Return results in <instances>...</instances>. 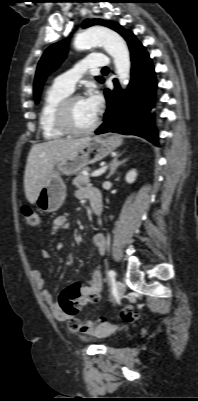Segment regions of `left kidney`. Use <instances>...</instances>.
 Instances as JSON below:
<instances>
[{
	"label": "left kidney",
	"mask_w": 198,
	"mask_h": 401,
	"mask_svg": "<svg viewBox=\"0 0 198 401\" xmlns=\"http://www.w3.org/2000/svg\"><path fill=\"white\" fill-rule=\"evenodd\" d=\"M137 172L135 169L129 171L125 177L127 183H133L136 180Z\"/></svg>",
	"instance_id": "5707ae66"
}]
</instances>
